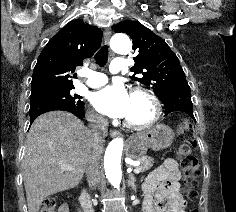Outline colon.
Returning a JSON list of instances; mask_svg holds the SVG:
<instances>
[{"label":"colon","mask_w":236,"mask_h":212,"mask_svg":"<svg viewBox=\"0 0 236 212\" xmlns=\"http://www.w3.org/2000/svg\"><path fill=\"white\" fill-rule=\"evenodd\" d=\"M178 135L181 145L177 152V158L186 179L184 193L189 199L195 200L197 198V192L194 188V183L199 175V163L198 158L192 153L196 141L192 125L188 120L182 121ZM56 208V200L54 198H46L40 212H55ZM189 212H198V210L196 208H190Z\"/></svg>","instance_id":"colon-1"}]
</instances>
